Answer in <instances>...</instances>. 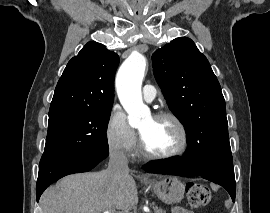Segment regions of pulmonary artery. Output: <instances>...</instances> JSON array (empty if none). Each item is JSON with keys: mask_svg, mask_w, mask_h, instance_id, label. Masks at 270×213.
<instances>
[{"mask_svg": "<svg viewBox=\"0 0 270 213\" xmlns=\"http://www.w3.org/2000/svg\"><path fill=\"white\" fill-rule=\"evenodd\" d=\"M156 97V90L152 85H145L143 88V98L147 102H152Z\"/></svg>", "mask_w": 270, "mask_h": 213, "instance_id": "1", "label": "pulmonary artery"}]
</instances>
